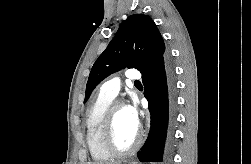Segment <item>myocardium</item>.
I'll return each instance as SVG.
<instances>
[{"instance_id":"obj_1","label":"myocardium","mask_w":251,"mask_h":164,"mask_svg":"<svg viewBox=\"0 0 251 164\" xmlns=\"http://www.w3.org/2000/svg\"><path fill=\"white\" fill-rule=\"evenodd\" d=\"M123 103L115 101L109 106L103 126V143L105 148L114 156H125L135 152L141 144V132L137 129V134L134 143L128 148H120L115 141V115L119 107Z\"/></svg>"}]
</instances>
